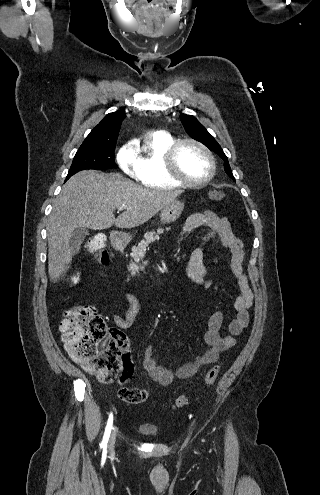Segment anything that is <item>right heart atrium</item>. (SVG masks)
I'll use <instances>...</instances> for the list:
<instances>
[{"mask_svg": "<svg viewBox=\"0 0 320 495\" xmlns=\"http://www.w3.org/2000/svg\"><path fill=\"white\" fill-rule=\"evenodd\" d=\"M116 160L123 172H125L132 178L138 179V154L134 144L131 141L126 142L119 149Z\"/></svg>", "mask_w": 320, "mask_h": 495, "instance_id": "1", "label": "right heart atrium"}]
</instances>
